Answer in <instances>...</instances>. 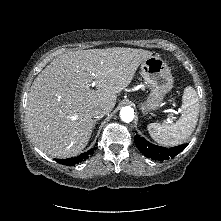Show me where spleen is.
<instances>
[{
  "label": "spleen",
  "mask_w": 221,
  "mask_h": 221,
  "mask_svg": "<svg viewBox=\"0 0 221 221\" xmlns=\"http://www.w3.org/2000/svg\"><path fill=\"white\" fill-rule=\"evenodd\" d=\"M199 99L193 87L187 86L182 96L181 115L173 124L150 123L147 128L150 136L158 144L176 146L186 141L193 133L199 115Z\"/></svg>",
  "instance_id": "3e777b00"
}]
</instances>
